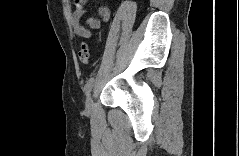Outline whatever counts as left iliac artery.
I'll return each instance as SVG.
<instances>
[{
	"label": "left iliac artery",
	"instance_id": "44dca946",
	"mask_svg": "<svg viewBox=\"0 0 239 156\" xmlns=\"http://www.w3.org/2000/svg\"><path fill=\"white\" fill-rule=\"evenodd\" d=\"M93 83H94V77H91L86 85H85V91H86V95H88L93 87Z\"/></svg>",
	"mask_w": 239,
	"mask_h": 156
}]
</instances>
